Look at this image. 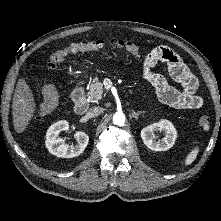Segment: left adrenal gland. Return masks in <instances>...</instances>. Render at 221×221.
Here are the masks:
<instances>
[{
  "mask_svg": "<svg viewBox=\"0 0 221 221\" xmlns=\"http://www.w3.org/2000/svg\"><path fill=\"white\" fill-rule=\"evenodd\" d=\"M142 113H145V111H138V112L132 111V117L135 118V120H138L139 115Z\"/></svg>",
  "mask_w": 221,
  "mask_h": 221,
  "instance_id": "a2214340",
  "label": "left adrenal gland"
}]
</instances>
